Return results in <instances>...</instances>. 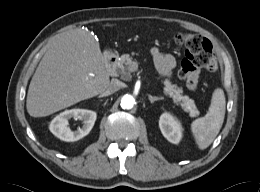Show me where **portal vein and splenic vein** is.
Instances as JSON below:
<instances>
[{
	"mask_svg": "<svg viewBox=\"0 0 260 192\" xmlns=\"http://www.w3.org/2000/svg\"><path fill=\"white\" fill-rule=\"evenodd\" d=\"M137 70V64L133 66V71Z\"/></svg>",
	"mask_w": 260,
	"mask_h": 192,
	"instance_id": "portal-vein-and-splenic-vein-1",
	"label": "portal vein and splenic vein"
}]
</instances>
